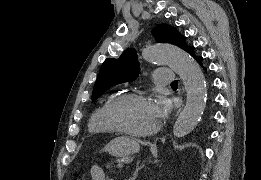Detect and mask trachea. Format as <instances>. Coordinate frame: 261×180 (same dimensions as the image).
I'll list each match as a JSON object with an SVG mask.
<instances>
[{
  "instance_id": "3493384b",
  "label": "trachea",
  "mask_w": 261,
  "mask_h": 180,
  "mask_svg": "<svg viewBox=\"0 0 261 180\" xmlns=\"http://www.w3.org/2000/svg\"><path fill=\"white\" fill-rule=\"evenodd\" d=\"M172 84H178V81H177V80H174V81L172 82Z\"/></svg>"
}]
</instances>
